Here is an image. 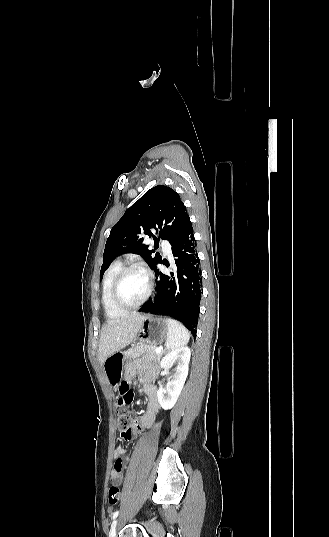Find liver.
I'll return each instance as SVG.
<instances>
[{"label": "liver", "instance_id": "6515ba94", "mask_svg": "<svg viewBox=\"0 0 329 537\" xmlns=\"http://www.w3.org/2000/svg\"><path fill=\"white\" fill-rule=\"evenodd\" d=\"M144 316L134 313L127 317L110 319L100 334L98 359L101 365L112 354L119 352L136 337Z\"/></svg>", "mask_w": 329, "mask_h": 537}]
</instances>
